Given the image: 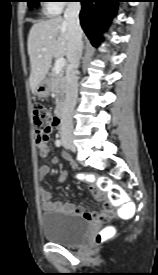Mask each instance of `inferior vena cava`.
<instances>
[{
    "mask_svg": "<svg viewBox=\"0 0 158 275\" xmlns=\"http://www.w3.org/2000/svg\"><path fill=\"white\" fill-rule=\"evenodd\" d=\"M81 5L79 2H70L64 13L67 22L69 71L66 79V97L61 115V136H71L73 132L72 113L78 97V76L80 58L82 56V29L79 21Z\"/></svg>",
    "mask_w": 158,
    "mask_h": 275,
    "instance_id": "1",
    "label": "inferior vena cava"
}]
</instances>
